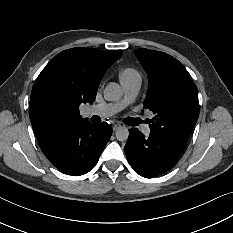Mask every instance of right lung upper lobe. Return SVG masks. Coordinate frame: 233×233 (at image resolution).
<instances>
[{
  "label": "right lung upper lobe",
  "instance_id": "right-lung-upper-lobe-1",
  "mask_svg": "<svg viewBox=\"0 0 233 233\" xmlns=\"http://www.w3.org/2000/svg\"><path fill=\"white\" fill-rule=\"evenodd\" d=\"M122 50L72 48L56 55L39 74L31 92L29 116L37 138L79 122V105L93 102L106 70Z\"/></svg>",
  "mask_w": 233,
  "mask_h": 233
}]
</instances>
